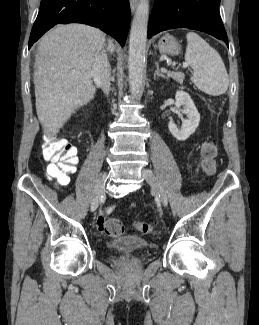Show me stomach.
Wrapping results in <instances>:
<instances>
[{
    "label": "stomach",
    "mask_w": 259,
    "mask_h": 325,
    "mask_svg": "<svg viewBox=\"0 0 259 325\" xmlns=\"http://www.w3.org/2000/svg\"><path fill=\"white\" fill-rule=\"evenodd\" d=\"M160 53L176 56L181 51V46L172 35L166 34L162 36L157 45L154 46Z\"/></svg>",
    "instance_id": "obj_1"
}]
</instances>
